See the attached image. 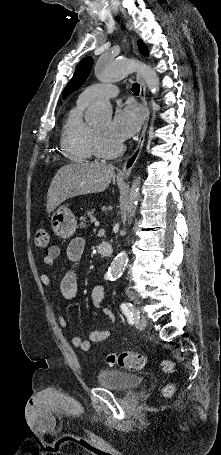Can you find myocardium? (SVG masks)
I'll use <instances>...</instances> for the list:
<instances>
[{
	"mask_svg": "<svg viewBox=\"0 0 221 455\" xmlns=\"http://www.w3.org/2000/svg\"><path fill=\"white\" fill-rule=\"evenodd\" d=\"M91 146L94 154L102 158L115 157L119 155L124 149L122 142H118L112 147H105L101 141L99 133L94 127H91Z\"/></svg>",
	"mask_w": 221,
	"mask_h": 455,
	"instance_id": "obj_1",
	"label": "myocardium"
}]
</instances>
